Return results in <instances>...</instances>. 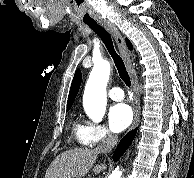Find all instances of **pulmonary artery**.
I'll use <instances>...</instances> for the list:
<instances>
[{
	"label": "pulmonary artery",
	"instance_id": "1",
	"mask_svg": "<svg viewBox=\"0 0 194 178\" xmlns=\"http://www.w3.org/2000/svg\"><path fill=\"white\" fill-rule=\"evenodd\" d=\"M108 96L115 101H120L124 98V92L119 87H112L108 91Z\"/></svg>",
	"mask_w": 194,
	"mask_h": 178
}]
</instances>
